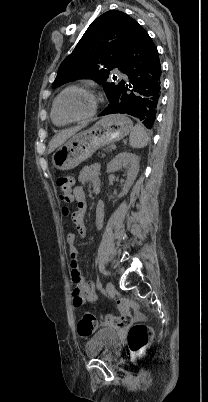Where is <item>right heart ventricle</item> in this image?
<instances>
[{"instance_id": "1", "label": "right heart ventricle", "mask_w": 208, "mask_h": 402, "mask_svg": "<svg viewBox=\"0 0 208 402\" xmlns=\"http://www.w3.org/2000/svg\"><path fill=\"white\" fill-rule=\"evenodd\" d=\"M50 117H51V121H52L53 125L56 126V127H59V128H60V127L66 126V125L68 124L67 122L63 121V120L58 116V114H57L56 111H55L54 106H52L51 113H50Z\"/></svg>"}]
</instances>
